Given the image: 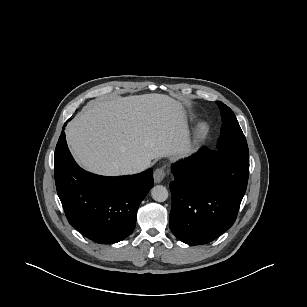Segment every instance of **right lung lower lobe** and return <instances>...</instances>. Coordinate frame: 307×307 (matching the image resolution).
<instances>
[{
    "instance_id": "obj_1",
    "label": "right lung lower lobe",
    "mask_w": 307,
    "mask_h": 307,
    "mask_svg": "<svg viewBox=\"0 0 307 307\" xmlns=\"http://www.w3.org/2000/svg\"><path fill=\"white\" fill-rule=\"evenodd\" d=\"M54 173L69 223L100 244L119 242L133 232L138 207L153 187L152 169L119 177L83 170L74 161L64 132L55 149Z\"/></svg>"
}]
</instances>
